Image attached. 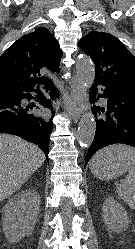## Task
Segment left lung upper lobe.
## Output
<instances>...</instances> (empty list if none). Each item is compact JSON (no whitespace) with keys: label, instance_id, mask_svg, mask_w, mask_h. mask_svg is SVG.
<instances>
[{"label":"left lung upper lobe","instance_id":"obj_1","mask_svg":"<svg viewBox=\"0 0 135 249\" xmlns=\"http://www.w3.org/2000/svg\"><path fill=\"white\" fill-rule=\"evenodd\" d=\"M79 46L95 63V83L135 94V56L109 33L91 31Z\"/></svg>","mask_w":135,"mask_h":249}]
</instances>
